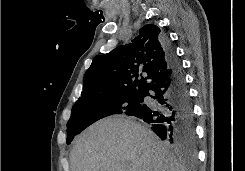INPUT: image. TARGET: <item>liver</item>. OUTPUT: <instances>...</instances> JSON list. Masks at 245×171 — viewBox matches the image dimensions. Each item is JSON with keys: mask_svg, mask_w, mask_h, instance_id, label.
<instances>
[{"mask_svg": "<svg viewBox=\"0 0 245 171\" xmlns=\"http://www.w3.org/2000/svg\"><path fill=\"white\" fill-rule=\"evenodd\" d=\"M71 171H185L159 138L133 118L102 119L75 140Z\"/></svg>", "mask_w": 245, "mask_h": 171, "instance_id": "6515ba94", "label": "liver"}]
</instances>
